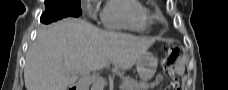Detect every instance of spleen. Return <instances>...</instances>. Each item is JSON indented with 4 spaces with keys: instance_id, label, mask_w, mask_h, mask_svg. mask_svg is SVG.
<instances>
[{
    "instance_id": "spleen-1",
    "label": "spleen",
    "mask_w": 228,
    "mask_h": 90,
    "mask_svg": "<svg viewBox=\"0 0 228 90\" xmlns=\"http://www.w3.org/2000/svg\"><path fill=\"white\" fill-rule=\"evenodd\" d=\"M185 71V65L182 60H179L177 63L176 72L178 75H183Z\"/></svg>"
}]
</instances>
